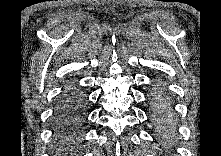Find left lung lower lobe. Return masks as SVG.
Wrapping results in <instances>:
<instances>
[{"mask_svg": "<svg viewBox=\"0 0 221 156\" xmlns=\"http://www.w3.org/2000/svg\"><path fill=\"white\" fill-rule=\"evenodd\" d=\"M151 119L161 133L173 131L176 125L170 96L162 85H157L151 96Z\"/></svg>", "mask_w": 221, "mask_h": 156, "instance_id": "1", "label": "left lung lower lobe"}]
</instances>
